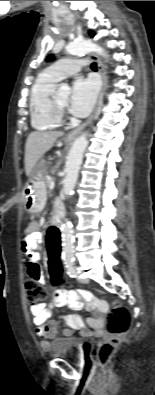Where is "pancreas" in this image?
Masks as SVG:
<instances>
[{"mask_svg":"<svg viewBox=\"0 0 155 395\" xmlns=\"http://www.w3.org/2000/svg\"><path fill=\"white\" fill-rule=\"evenodd\" d=\"M44 182H45V186L48 188V191H50L51 189H50V183L51 182H53V178H51V177H45L44 178Z\"/></svg>","mask_w":155,"mask_h":395,"instance_id":"pancreas-1","label":"pancreas"}]
</instances>
